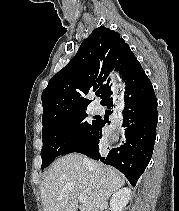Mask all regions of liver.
<instances>
[{
	"mask_svg": "<svg viewBox=\"0 0 179 211\" xmlns=\"http://www.w3.org/2000/svg\"><path fill=\"white\" fill-rule=\"evenodd\" d=\"M124 184L125 178L115 169L69 154L51 165L41 183L43 211H77L80 194L86 196L81 211H99Z\"/></svg>",
	"mask_w": 179,
	"mask_h": 211,
	"instance_id": "6515ba94",
	"label": "liver"
}]
</instances>
